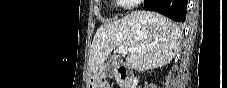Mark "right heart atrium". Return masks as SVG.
Masks as SVG:
<instances>
[{"label": "right heart atrium", "mask_w": 227, "mask_h": 88, "mask_svg": "<svg viewBox=\"0 0 227 88\" xmlns=\"http://www.w3.org/2000/svg\"><path fill=\"white\" fill-rule=\"evenodd\" d=\"M122 4H124L128 9H133L139 6L142 0H120Z\"/></svg>", "instance_id": "right-heart-atrium-1"}]
</instances>
